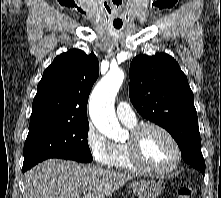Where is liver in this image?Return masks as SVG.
Here are the masks:
<instances>
[{
  "label": "liver",
  "mask_w": 221,
  "mask_h": 198,
  "mask_svg": "<svg viewBox=\"0 0 221 198\" xmlns=\"http://www.w3.org/2000/svg\"><path fill=\"white\" fill-rule=\"evenodd\" d=\"M132 176L102 167L50 159L25 174V198H106Z\"/></svg>",
  "instance_id": "liver-1"
}]
</instances>
